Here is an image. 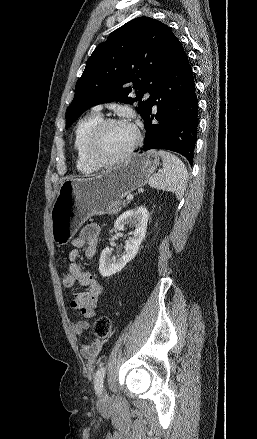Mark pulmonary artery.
Instances as JSON below:
<instances>
[{
  "instance_id": "pulmonary-artery-1",
  "label": "pulmonary artery",
  "mask_w": 257,
  "mask_h": 439,
  "mask_svg": "<svg viewBox=\"0 0 257 439\" xmlns=\"http://www.w3.org/2000/svg\"><path fill=\"white\" fill-rule=\"evenodd\" d=\"M96 109H97V110H99V109H100V107H96Z\"/></svg>"
}]
</instances>
